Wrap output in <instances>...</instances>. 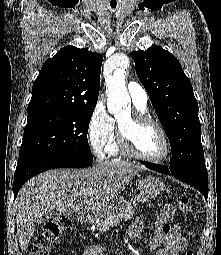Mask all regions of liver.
Here are the masks:
<instances>
[{"instance_id":"obj_1","label":"liver","mask_w":221,"mask_h":255,"mask_svg":"<svg viewBox=\"0 0 221 255\" xmlns=\"http://www.w3.org/2000/svg\"><path fill=\"white\" fill-rule=\"evenodd\" d=\"M140 170L128 162L110 161L82 170H49L29 180L15 200L21 250L26 249L44 212L101 211Z\"/></svg>"}]
</instances>
